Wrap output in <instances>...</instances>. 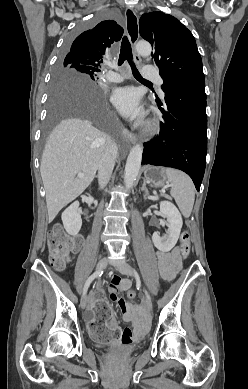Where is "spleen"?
<instances>
[{
    "instance_id": "spleen-1",
    "label": "spleen",
    "mask_w": 248,
    "mask_h": 389,
    "mask_svg": "<svg viewBox=\"0 0 248 389\" xmlns=\"http://www.w3.org/2000/svg\"><path fill=\"white\" fill-rule=\"evenodd\" d=\"M165 174L171 187L170 194L174 197L182 215H191L195 201V187L191 178L184 172L167 168Z\"/></svg>"
}]
</instances>
